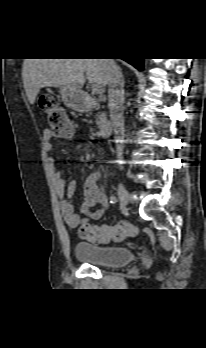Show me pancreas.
<instances>
[{
    "instance_id": "cf45deb5",
    "label": "pancreas",
    "mask_w": 206,
    "mask_h": 348,
    "mask_svg": "<svg viewBox=\"0 0 206 348\" xmlns=\"http://www.w3.org/2000/svg\"><path fill=\"white\" fill-rule=\"evenodd\" d=\"M100 115L96 114V123L99 124Z\"/></svg>"
}]
</instances>
